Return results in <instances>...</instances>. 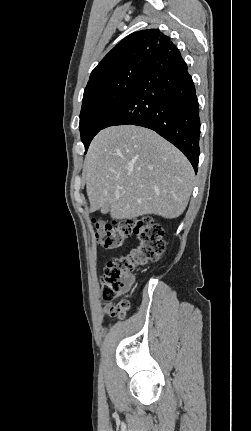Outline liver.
I'll list each match as a JSON object with an SVG mask.
<instances>
[{"mask_svg": "<svg viewBox=\"0 0 251 431\" xmlns=\"http://www.w3.org/2000/svg\"><path fill=\"white\" fill-rule=\"evenodd\" d=\"M83 177L90 212L108 205L113 219H172L186 209L195 174L187 158L154 131L121 125L92 140Z\"/></svg>", "mask_w": 251, "mask_h": 431, "instance_id": "obj_1", "label": "liver"}]
</instances>
